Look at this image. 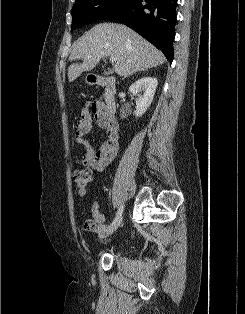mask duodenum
I'll return each mask as SVG.
<instances>
[{"instance_id":"1","label":"duodenum","mask_w":245,"mask_h":314,"mask_svg":"<svg viewBox=\"0 0 245 314\" xmlns=\"http://www.w3.org/2000/svg\"><path fill=\"white\" fill-rule=\"evenodd\" d=\"M92 79L94 84L104 87L103 110L110 119L115 120L117 110L115 79L112 76H94Z\"/></svg>"}]
</instances>
